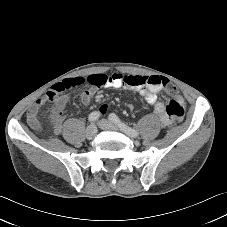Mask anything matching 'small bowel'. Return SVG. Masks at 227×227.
I'll use <instances>...</instances> for the list:
<instances>
[{"label": "small bowel", "mask_w": 227, "mask_h": 227, "mask_svg": "<svg viewBox=\"0 0 227 227\" xmlns=\"http://www.w3.org/2000/svg\"><path fill=\"white\" fill-rule=\"evenodd\" d=\"M150 77L159 76H123L121 74L109 75L106 72H99L97 74H88L85 77L67 78L63 81H58L52 84L46 91V94L39 99L27 111V122L36 130H41L42 125L38 118L40 108L48 101L55 103V108L51 113V119L54 123L55 130L58 132L61 128L63 120L62 110L65 107L69 97L63 95L69 93L71 90L86 88L80 95L81 103L84 106L90 104L94 96V89L99 88H120L126 87L140 93L146 103L152 105L156 114L161 118L165 124L173 120L182 118L185 101L182 96L173 94L172 98L165 105L158 100L157 93L161 90V85H151L145 83Z\"/></svg>", "instance_id": "c3829d8e"}]
</instances>
